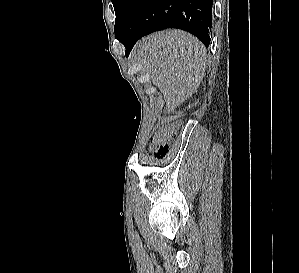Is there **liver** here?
<instances>
[{"mask_svg": "<svg viewBox=\"0 0 299 273\" xmlns=\"http://www.w3.org/2000/svg\"><path fill=\"white\" fill-rule=\"evenodd\" d=\"M132 59L150 74L170 111L189 98L200 85L206 68V49L187 32L167 30L139 41Z\"/></svg>", "mask_w": 299, "mask_h": 273, "instance_id": "liver-1", "label": "liver"}]
</instances>
